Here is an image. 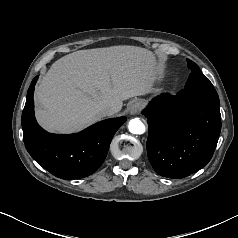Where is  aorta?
<instances>
[{
    "instance_id": "obj_1",
    "label": "aorta",
    "mask_w": 238,
    "mask_h": 238,
    "mask_svg": "<svg viewBox=\"0 0 238 238\" xmlns=\"http://www.w3.org/2000/svg\"><path fill=\"white\" fill-rule=\"evenodd\" d=\"M128 129L132 134L141 135L145 132L146 128L139 118L131 119L128 123Z\"/></svg>"
}]
</instances>
